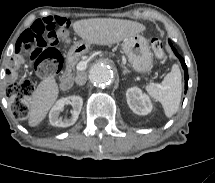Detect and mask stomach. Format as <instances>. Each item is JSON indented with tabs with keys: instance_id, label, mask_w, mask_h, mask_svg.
I'll use <instances>...</instances> for the list:
<instances>
[{
	"instance_id": "stomach-1",
	"label": "stomach",
	"mask_w": 215,
	"mask_h": 183,
	"mask_svg": "<svg viewBox=\"0 0 215 183\" xmlns=\"http://www.w3.org/2000/svg\"><path fill=\"white\" fill-rule=\"evenodd\" d=\"M90 44L86 41L75 43L67 54L68 62H71L85 54ZM123 51L128 57L131 67L138 73H146L153 66V53L148 41L141 35L136 34L123 42Z\"/></svg>"
}]
</instances>
